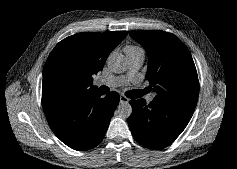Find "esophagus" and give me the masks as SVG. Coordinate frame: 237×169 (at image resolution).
Returning a JSON list of instances; mask_svg holds the SVG:
<instances>
[{
    "label": "esophagus",
    "instance_id": "obj_1",
    "mask_svg": "<svg viewBox=\"0 0 237 169\" xmlns=\"http://www.w3.org/2000/svg\"><path fill=\"white\" fill-rule=\"evenodd\" d=\"M129 99L124 96V95H120V103H128Z\"/></svg>",
    "mask_w": 237,
    "mask_h": 169
}]
</instances>
